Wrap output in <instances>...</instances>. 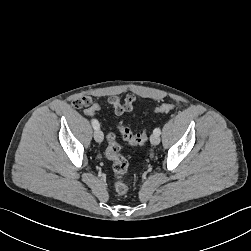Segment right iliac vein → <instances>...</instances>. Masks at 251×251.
Here are the masks:
<instances>
[{"label":"right iliac vein","instance_id":"obj_1","mask_svg":"<svg viewBox=\"0 0 251 251\" xmlns=\"http://www.w3.org/2000/svg\"><path fill=\"white\" fill-rule=\"evenodd\" d=\"M94 139L99 143H101L103 141L104 135H103V132L100 129L95 130Z\"/></svg>","mask_w":251,"mask_h":251}]
</instances>
